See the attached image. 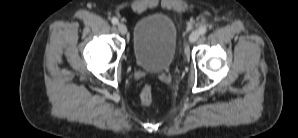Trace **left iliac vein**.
Segmentation results:
<instances>
[{
  "instance_id": "4c4485c4",
  "label": "left iliac vein",
  "mask_w": 298,
  "mask_h": 138,
  "mask_svg": "<svg viewBox=\"0 0 298 138\" xmlns=\"http://www.w3.org/2000/svg\"><path fill=\"white\" fill-rule=\"evenodd\" d=\"M200 36V33L198 30L193 31L189 36V42L194 43Z\"/></svg>"
}]
</instances>
